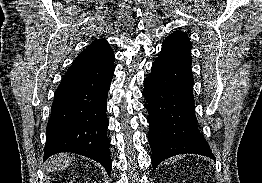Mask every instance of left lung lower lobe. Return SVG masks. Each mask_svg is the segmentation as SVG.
Returning a JSON list of instances; mask_svg holds the SVG:
<instances>
[{
	"mask_svg": "<svg viewBox=\"0 0 262 183\" xmlns=\"http://www.w3.org/2000/svg\"><path fill=\"white\" fill-rule=\"evenodd\" d=\"M191 65L192 57L162 49L150 75L144 79L154 169L163 160L179 154H198L215 160L197 127Z\"/></svg>",
	"mask_w": 262,
	"mask_h": 183,
	"instance_id": "0a47b994",
	"label": "left lung lower lobe"
}]
</instances>
